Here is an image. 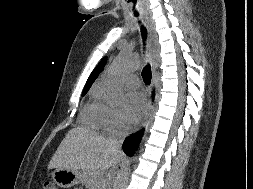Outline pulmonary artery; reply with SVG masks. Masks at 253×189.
I'll list each match as a JSON object with an SVG mask.
<instances>
[{"label": "pulmonary artery", "instance_id": "obj_1", "mask_svg": "<svg viewBox=\"0 0 253 189\" xmlns=\"http://www.w3.org/2000/svg\"><path fill=\"white\" fill-rule=\"evenodd\" d=\"M128 83L132 86H137L139 81H138V78L134 75H131L128 77Z\"/></svg>", "mask_w": 253, "mask_h": 189}]
</instances>
